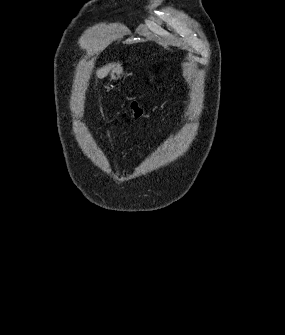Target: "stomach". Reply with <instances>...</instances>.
<instances>
[{
  "label": "stomach",
  "instance_id": "1",
  "mask_svg": "<svg viewBox=\"0 0 285 335\" xmlns=\"http://www.w3.org/2000/svg\"><path fill=\"white\" fill-rule=\"evenodd\" d=\"M123 74L122 64H115L110 72V80H119Z\"/></svg>",
  "mask_w": 285,
  "mask_h": 335
}]
</instances>
